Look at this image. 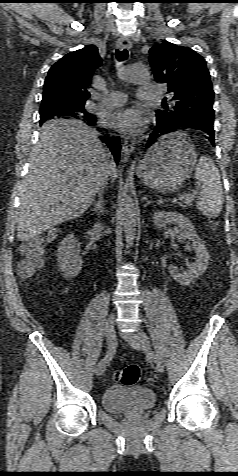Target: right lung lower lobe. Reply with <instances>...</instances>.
Returning <instances> with one entry per match:
<instances>
[{"instance_id":"98d812e1","label":"right lung lower lobe","mask_w":238,"mask_h":476,"mask_svg":"<svg viewBox=\"0 0 238 476\" xmlns=\"http://www.w3.org/2000/svg\"><path fill=\"white\" fill-rule=\"evenodd\" d=\"M95 122H87V124L93 126V125H95ZM101 140L104 143H106L107 146L110 148V150H111V152L114 156L115 162L118 163L119 157H120V150H121V145H120L119 139L116 138V137H114V138L103 137V138H101Z\"/></svg>"}]
</instances>
